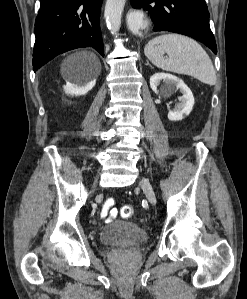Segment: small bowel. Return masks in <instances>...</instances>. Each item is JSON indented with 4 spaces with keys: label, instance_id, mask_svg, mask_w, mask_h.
I'll return each mask as SVG.
<instances>
[{
    "label": "small bowel",
    "instance_id": "1",
    "mask_svg": "<svg viewBox=\"0 0 247 299\" xmlns=\"http://www.w3.org/2000/svg\"><path fill=\"white\" fill-rule=\"evenodd\" d=\"M114 199L113 198H109L106 200V202L104 203L102 210H101V217L102 218H108V220H110V218H114L118 215V209L113 207L114 206Z\"/></svg>",
    "mask_w": 247,
    "mask_h": 299
}]
</instances>
